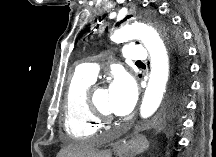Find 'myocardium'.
Instances as JSON below:
<instances>
[{"label":"myocardium","mask_w":216,"mask_h":157,"mask_svg":"<svg viewBox=\"0 0 216 157\" xmlns=\"http://www.w3.org/2000/svg\"><path fill=\"white\" fill-rule=\"evenodd\" d=\"M98 89V85H94L89 91H88V102L89 106L91 108V111L93 115L100 121L102 122H110L113 120V117L111 116L110 113L102 111L96 104L94 95L96 90Z\"/></svg>","instance_id":"1"}]
</instances>
